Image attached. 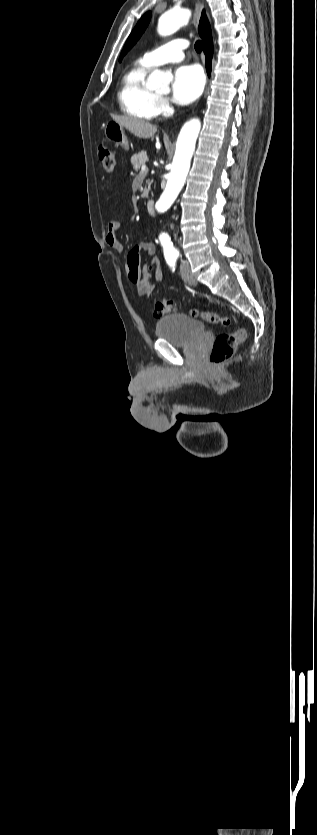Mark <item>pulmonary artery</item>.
I'll return each mask as SVG.
<instances>
[{"instance_id": "1", "label": "pulmonary artery", "mask_w": 317, "mask_h": 835, "mask_svg": "<svg viewBox=\"0 0 317 835\" xmlns=\"http://www.w3.org/2000/svg\"><path fill=\"white\" fill-rule=\"evenodd\" d=\"M188 47V42L184 39H174L167 42L154 50L148 51L141 58L142 61L150 67L158 66L167 62H177L184 58V49Z\"/></svg>"}]
</instances>
